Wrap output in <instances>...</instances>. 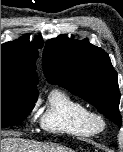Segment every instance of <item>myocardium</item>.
I'll list each match as a JSON object with an SVG mask.
<instances>
[{"label":"myocardium","instance_id":"obj_1","mask_svg":"<svg viewBox=\"0 0 123 152\" xmlns=\"http://www.w3.org/2000/svg\"><path fill=\"white\" fill-rule=\"evenodd\" d=\"M86 123L94 133L102 132L106 126L104 117L101 114L92 111L88 112Z\"/></svg>","mask_w":123,"mask_h":152}]
</instances>
